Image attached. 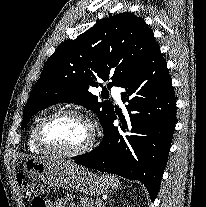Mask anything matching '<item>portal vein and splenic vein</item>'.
<instances>
[{
	"label": "portal vein and splenic vein",
	"mask_w": 206,
	"mask_h": 207,
	"mask_svg": "<svg viewBox=\"0 0 206 207\" xmlns=\"http://www.w3.org/2000/svg\"><path fill=\"white\" fill-rule=\"evenodd\" d=\"M97 202V205H100L101 204V201L100 200H96Z\"/></svg>",
	"instance_id": "obj_1"
}]
</instances>
